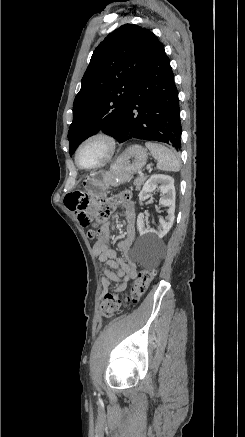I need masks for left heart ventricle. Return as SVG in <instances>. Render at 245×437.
<instances>
[{
	"label": "left heart ventricle",
	"mask_w": 245,
	"mask_h": 437,
	"mask_svg": "<svg viewBox=\"0 0 245 437\" xmlns=\"http://www.w3.org/2000/svg\"><path fill=\"white\" fill-rule=\"evenodd\" d=\"M107 146L102 140H93L85 144L79 154L80 163L83 166H91L98 163L106 154Z\"/></svg>",
	"instance_id": "obj_1"
}]
</instances>
